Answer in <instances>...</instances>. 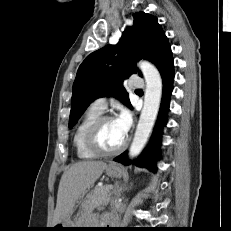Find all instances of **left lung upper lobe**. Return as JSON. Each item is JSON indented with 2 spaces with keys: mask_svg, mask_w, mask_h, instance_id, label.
Masks as SVG:
<instances>
[{
  "mask_svg": "<svg viewBox=\"0 0 231 231\" xmlns=\"http://www.w3.org/2000/svg\"><path fill=\"white\" fill-rule=\"evenodd\" d=\"M128 27L116 45H107L88 55L79 66L73 84L69 127H73L89 104L97 98L112 95L131 108L123 81L139 71L136 61H153L167 40L156 17L144 12L133 14ZM141 76V72H139Z\"/></svg>",
  "mask_w": 231,
  "mask_h": 231,
  "instance_id": "1",
  "label": "left lung upper lobe"
}]
</instances>
